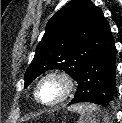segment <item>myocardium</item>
Returning a JSON list of instances; mask_svg holds the SVG:
<instances>
[{
    "label": "myocardium",
    "instance_id": "myocardium-1",
    "mask_svg": "<svg viewBox=\"0 0 122 123\" xmlns=\"http://www.w3.org/2000/svg\"><path fill=\"white\" fill-rule=\"evenodd\" d=\"M49 78H56L60 80L63 83L64 90L61 96L57 98L56 100L51 101V102H45L40 97V88L43 82ZM75 88H76V80L69 72L64 71V70H54V71H50L46 73L44 76L40 78V80L38 81L36 85L35 98L42 105L52 107V106L59 105L63 103L64 101H66L72 95Z\"/></svg>",
    "mask_w": 122,
    "mask_h": 123
}]
</instances>
